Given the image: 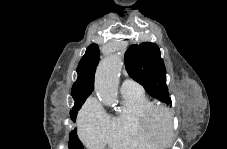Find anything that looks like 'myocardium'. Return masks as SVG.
<instances>
[{
    "instance_id": "obj_1",
    "label": "myocardium",
    "mask_w": 227,
    "mask_h": 149,
    "mask_svg": "<svg viewBox=\"0 0 227 149\" xmlns=\"http://www.w3.org/2000/svg\"><path fill=\"white\" fill-rule=\"evenodd\" d=\"M159 114L165 117L167 123V136L165 139L159 138L154 128V119ZM141 126L147 138L155 146H169L174 142L175 129L173 116L170 110L164 106L152 105L145 109L141 115Z\"/></svg>"
}]
</instances>
